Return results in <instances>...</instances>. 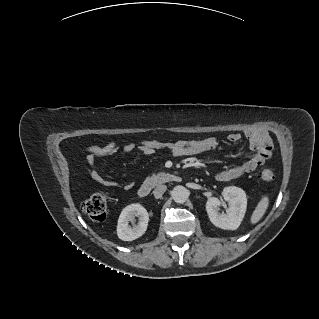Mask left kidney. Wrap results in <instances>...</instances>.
Masks as SVG:
<instances>
[{
	"label": "left kidney",
	"mask_w": 319,
	"mask_h": 319,
	"mask_svg": "<svg viewBox=\"0 0 319 319\" xmlns=\"http://www.w3.org/2000/svg\"><path fill=\"white\" fill-rule=\"evenodd\" d=\"M222 196L229 207L226 213H220L221 202L216 197H210L206 202V211L213 225L224 230H236L245 215L247 208V197L243 189L229 186L225 187Z\"/></svg>",
	"instance_id": "5707ae66"
}]
</instances>
